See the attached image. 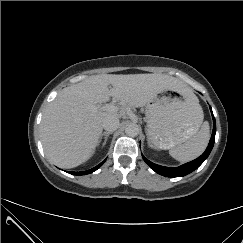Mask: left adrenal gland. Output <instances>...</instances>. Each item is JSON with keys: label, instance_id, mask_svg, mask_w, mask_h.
Returning <instances> with one entry per match:
<instances>
[{"label": "left adrenal gland", "instance_id": "obj_1", "mask_svg": "<svg viewBox=\"0 0 243 243\" xmlns=\"http://www.w3.org/2000/svg\"><path fill=\"white\" fill-rule=\"evenodd\" d=\"M148 145H149V146H151V144H150V140H149V137H148Z\"/></svg>", "mask_w": 243, "mask_h": 243}]
</instances>
